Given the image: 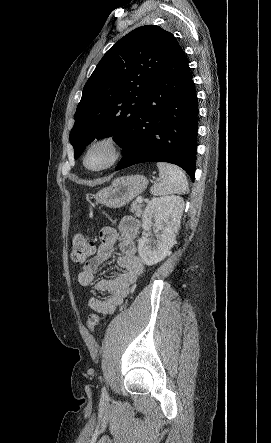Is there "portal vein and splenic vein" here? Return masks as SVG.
I'll use <instances>...</instances> for the list:
<instances>
[{
    "label": "portal vein and splenic vein",
    "instance_id": "portal-vein-and-splenic-vein-1",
    "mask_svg": "<svg viewBox=\"0 0 271 443\" xmlns=\"http://www.w3.org/2000/svg\"><path fill=\"white\" fill-rule=\"evenodd\" d=\"M136 202H138V204H142L143 200L142 198H136Z\"/></svg>",
    "mask_w": 271,
    "mask_h": 443
}]
</instances>
